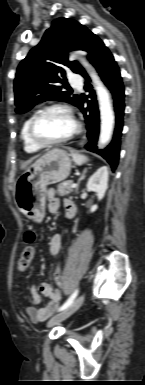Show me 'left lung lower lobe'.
Here are the masks:
<instances>
[{
    "label": "left lung lower lobe",
    "mask_w": 145,
    "mask_h": 385,
    "mask_svg": "<svg viewBox=\"0 0 145 385\" xmlns=\"http://www.w3.org/2000/svg\"><path fill=\"white\" fill-rule=\"evenodd\" d=\"M88 59L97 69L105 85L111 90L114 99V110L116 115V127L113 135V140L104 150H97V140L99 135V110L96 101V95L92 89V85L89 83L90 78L82 68L79 72L85 79V90L89 92L88 97L91 100L88 102V107L84 108V99H81V103L78 108L83 112L85 122L87 124V137L89 143L85 148L89 151L99 153L114 170L117 167L120 151V137L123 127V114H124V87L122 78L120 76L119 68L104 43L96 36L93 35L88 50Z\"/></svg>",
    "instance_id": "obj_1"
}]
</instances>
